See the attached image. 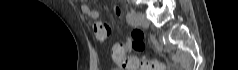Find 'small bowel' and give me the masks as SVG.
I'll list each match as a JSON object with an SVG mask.
<instances>
[{
	"label": "small bowel",
	"instance_id": "small-bowel-1",
	"mask_svg": "<svg viewBox=\"0 0 238 70\" xmlns=\"http://www.w3.org/2000/svg\"><path fill=\"white\" fill-rule=\"evenodd\" d=\"M80 3H81V10L85 15H87L88 17H90L92 19H97L99 17L98 11L91 8L86 3L85 0H80ZM114 12H115L116 15L121 14V10L118 7H116L114 9ZM93 30H94V34H95L96 39L99 40V41H104L108 37V35L110 34V27L106 23H103V22L95 23L94 26H93ZM125 44H126V47L124 48L125 52L130 51L132 48H130L129 42H127Z\"/></svg>",
	"mask_w": 238,
	"mask_h": 70
}]
</instances>
